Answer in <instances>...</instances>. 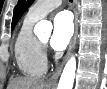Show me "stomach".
<instances>
[{
	"label": "stomach",
	"mask_w": 107,
	"mask_h": 89,
	"mask_svg": "<svg viewBox=\"0 0 107 89\" xmlns=\"http://www.w3.org/2000/svg\"><path fill=\"white\" fill-rule=\"evenodd\" d=\"M45 89H53V88L46 86Z\"/></svg>",
	"instance_id": "obj_1"
}]
</instances>
